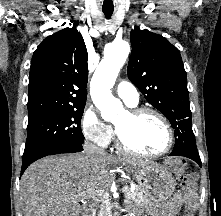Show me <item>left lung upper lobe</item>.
<instances>
[{
    "label": "left lung upper lobe",
    "mask_w": 221,
    "mask_h": 216,
    "mask_svg": "<svg viewBox=\"0 0 221 216\" xmlns=\"http://www.w3.org/2000/svg\"><path fill=\"white\" fill-rule=\"evenodd\" d=\"M127 74L146 100L163 113L175 130V146L198 153L192 131L187 78L179 50L166 38L136 27Z\"/></svg>",
    "instance_id": "left-lung-upper-lobe-1"
}]
</instances>
